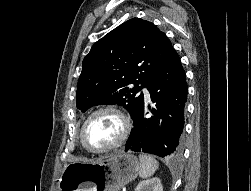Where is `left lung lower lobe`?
<instances>
[{"label": "left lung lower lobe", "instance_id": "0a47b994", "mask_svg": "<svg viewBox=\"0 0 251 191\" xmlns=\"http://www.w3.org/2000/svg\"><path fill=\"white\" fill-rule=\"evenodd\" d=\"M156 103L145 115L144 100L133 121L125 151L176 157L182 150V133L188 86L185 71L172 49L147 86Z\"/></svg>", "mask_w": 251, "mask_h": 191}]
</instances>
